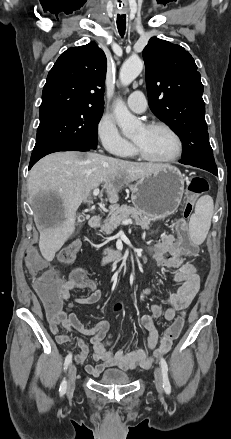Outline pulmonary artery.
<instances>
[{
	"instance_id": "e3ab8cb5",
	"label": "pulmonary artery",
	"mask_w": 231,
	"mask_h": 439,
	"mask_svg": "<svg viewBox=\"0 0 231 439\" xmlns=\"http://www.w3.org/2000/svg\"><path fill=\"white\" fill-rule=\"evenodd\" d=\"M127 104L135 113H143L147 108V101L141 91L132 92L127 98Z\"/></svg>"
}]
</instances>
